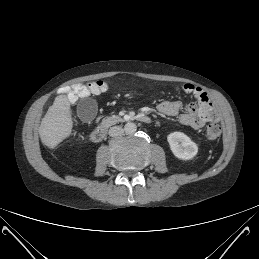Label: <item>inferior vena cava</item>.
<instances>
[{
  "label": "inferior vena cava",
  "mask_w": 259,
  "mask_h": 259,
  "mask_svg": "<svg viewBox=\"0 0 259 259\" xmlns=\"http://www.w3.org/2000/svg\"><path fill=\"white\" fill-rule=\"evenodd\" d=\"M124 133V129L120 126H114L109 129V135L111 137L121 136Z\"/></svg>",
  "instance_id": "602c4592"
}]
</instances>
